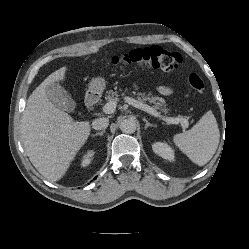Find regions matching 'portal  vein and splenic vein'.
I'll return each mask as SVG.
<instances>
[{
	"label": "portal vein and splenic vein",
	"instance_id": "portal-vein-and-splenic-vein-1",
	"mask_svg": "<svg viewBox=\"0 0 249 249\" xmlns=\"http://www.w3.org/2000/svg\"><path fill=\"white\" fill-rule=\"evenodd\" d=\"M124 99L128 104L136 108H139L143 111H146L150 115L165 121L167 124H181L184 129L188 128L189 123L186 119L163 116L159 112H157L154 108L138 100H135L132 97L126 96ZM116 106H117V100L109 101L103 106V112L106 114H111L116 110Z\"/></svg>",
	"mask_w": 249,
	"mask_h": 249
}]
</instances>
